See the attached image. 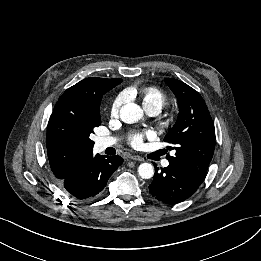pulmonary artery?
Returning <instances> with one entry per match:
<instances>
[{"mask_svg":"<svg viewBox=\"0 0 261 261\" xmlns=\"http://www.w3.org/2000/svg\"><path fill=\"white\" fill-rule=\"evenodd\" d=\"M147 112L149 113L150 116H156L159 114L160 111L159 110H148ZM116 142H117L116 138H104L99 141V145L102 148H105V147L115 144ZM162 165L164 167H167V166H169V162L167 160H165V161H163Z\"/></svg>","mask_w":261,"mask_h":261,"instance_id":"e3ab8cb5","label":"pulmonary artery"}]
</instances>
